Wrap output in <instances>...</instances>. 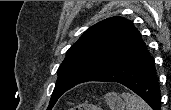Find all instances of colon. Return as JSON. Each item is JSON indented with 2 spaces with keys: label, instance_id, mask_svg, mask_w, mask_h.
<instances>
[{
  "label": "colon",
  "instance_id": "5ec220e1",
  "mask_svg": "<svg viewBox=\"0 0 171 110\" xmlns=\"http://www.w3.org/2000/svg\"><path fill=\"white\" fill-rule=\"evenodd\" d=\"M82 107H83V106H77V107L73 108L72 110H83Z\"/></svg>",
  "mask_w": 171,
  "mask_h": 110
}]
</instances>
